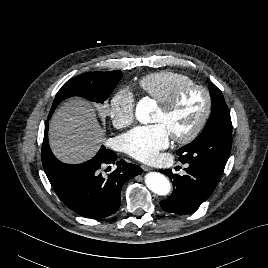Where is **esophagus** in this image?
I'll use <instances>...</instances> for the list:
<instances>
[{"label": "esophagus", "mask_w": 268, "mask_h": 268, "mask_svg": "<svg viewBox=\"0 0 268 268\" xmlns=\"http://www.w3.org/2000/svg\"><path fill=\"white\" fill-rule=\"evenodd\" d=\"M142 169H143L144 171H151V170H153L151 167L146 166V165H142Z\"/></svg>", "instance_id": "esophagus-1"}]
</instances>
